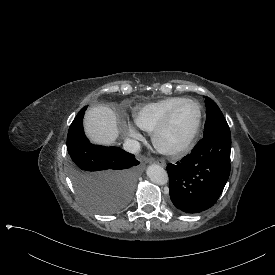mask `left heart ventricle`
<instances>
[{"label": "left heart ventricle", "mask_w": 275, "mask_h": 275, "mask_svg": "<svg viewBox=\"0 0 275 275\" xmlns=\"http://www.w3.org/2000/svg\"><path fill=\"white\" fill-rule=\"evenodd\" d=\"M197 118V108L192 103L180 105L174 113L171 127L165 136V142L176 144L191 131Z\"/></svg>", "instance_id": "1"}]
</instances>
